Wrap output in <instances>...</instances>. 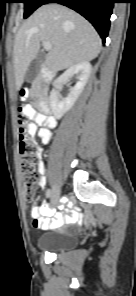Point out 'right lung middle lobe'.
Instances as JSON below:
<instances>
[{"label": "right lung middle lobe", "mask_w": 136, "mask_h": 296, "mask_svg": "<svg viewBox=\"0 0 136 296\" xmlns=\"http://www.w3.org/2000/svg\"><path fill=\"white\" fill-rule=\"evenodd\" d=\"M45 0H18L17 2H22L25 4L24 18H27L32 14L38 7L43 5Z\"/></svg>", "instance_id": "dd1d6c3e"}]
</instances>
